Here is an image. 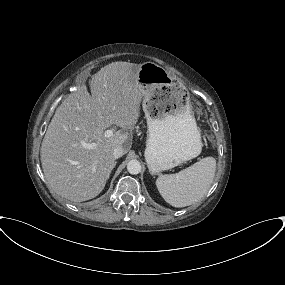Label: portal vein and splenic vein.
Listing matches in <instances>:
<instances>
[{
    "label": "portal vein and splenic vein",
    "mask_w": 285,
    "mask_h": 285,
    "mask_svg": "<svg viewBox=\"0 0 285 285\" xmlns=\"http://www.w3.org/2000/svg\"><path fill=\"white\" fill-rule=\"evenodd\" d=\"M114 131L113 129H108L104 132V136L109 138L113 135ZM83 148H86V149H93L94 147H96V144L95 143H83L82 144Z\"/></svg>",
    "instance_id": "obj_1"
}]
</instances>
